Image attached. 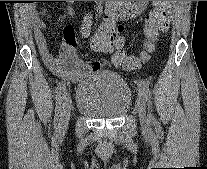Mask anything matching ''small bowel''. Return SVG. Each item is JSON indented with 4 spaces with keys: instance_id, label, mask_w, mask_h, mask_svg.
<instances>
[{
    "instance_id": "small-bowel-1",
    "label": "small bowel",
    "mask_w": 207,
    "mask_h": 169,
    "mask_svg": "<svg viewBox=\"0 0 207 169\" xmlns=\"http://www.w3.org/2000/svg\"><path fill=\"white\" fill-rule=\"evenodd\" d=\"M73 3L74 1H67ZM144 1H106L105 19L101 28L113 31L115 44L123 46V38L119 36L118 21L135 17L143 10ZM44 17L47 12L32 11L30 19L34 27V36L39 53L45 65L56 75L66 80L77 81L103 68L100 61H87L78 57L76 52V35L72 26L68 25L63 30V43L57 56L51 54L44 30L46 23Z\"/></svg>"
}]
</instances>
